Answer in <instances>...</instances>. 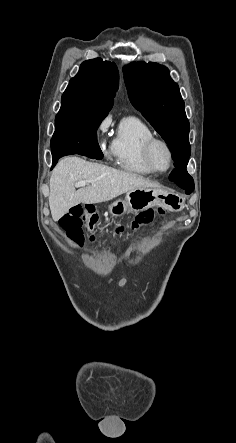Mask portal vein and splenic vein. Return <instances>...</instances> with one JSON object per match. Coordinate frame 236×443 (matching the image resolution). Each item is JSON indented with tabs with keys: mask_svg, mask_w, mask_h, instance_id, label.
<instances>
[{
	"mask_svg": "<svg viewBox=\"0 0 236 443\" xmlns=\"http://www.w3.org/2000/svg\"><path fill=\"white\" fill-rule=\"evenodd\" d=\"M87 184V181H78L75 183V187H85Z\"/></svg>",
	"mask_w": 236,
	"mask_h": 443,
	"instance_id": "portal-vein-and-splenic-vein-1",
	"label": "portal vein and splenic vein"
}]
</instances>
